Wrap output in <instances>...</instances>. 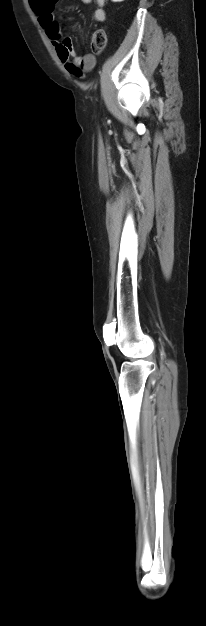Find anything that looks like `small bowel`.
<instances>
[{"label":"small bowel","mask_w":206,"mask_h":626,"mask_svg":"<svg viewBox=\"0 0 206 626\" xmlns=\"http://www.w3.org/2000/svg\"><path fill=\"white\" fill-rule=\"evenodd\" d=\"M96 3L94 19L98 22L106 20V0H82L85 4ZM54 0H30L34 12L46 35L55 48L59 60L65 69L76 77H83L85 72L90 71L95 65V57L91 54L79 55L75 52L71 38L64 36L60 25L53 13Z\"/></svg>","instance_id":"c3829d8e"}]
</instances>
